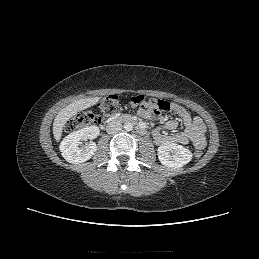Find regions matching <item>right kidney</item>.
Segmentation results:
<instances>
[{
  "instance_id": "obj_1",
  "label": "right kidney",
  "mask_w": 259,
  "mask_h": 259,
  "mask_svg": "<svg viewBox=\"0 0 259 259\" xmlns=\"http://www.w3.org/2000/svg\"><path fill=\"white\" fill-rule=\"evenodd\" d=\"M97 126L79 129L67 135L61 142L59 149L62 156L70 163H83L89 160L96 152V143L81 145V140L94 139L99 135Z\"/></svg>"
}]
</instances>
